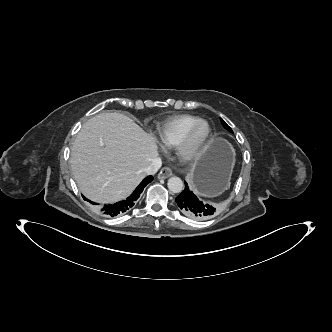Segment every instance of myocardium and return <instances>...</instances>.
<instances>
[{
  "mask_svg": "<svg viewBox=\"0 0 332 332\" xmlns=\"http://www.w3.org/2000/svg\"><path fill=\"white\" fill-rule=\"evenodd\" d=\"M200 127H204L205 133L198 141H194L195 132ZM212 137L213 130L211 125L206 120H199L184 134L176 145L178 157L186 163L195 162L205 152Z\"/></svg>",
  "mask_w": 332,
  "mask_h": 332,
  "instance_id": "myocardium-1",
  "label": "myocardium"
}]
</instances>
